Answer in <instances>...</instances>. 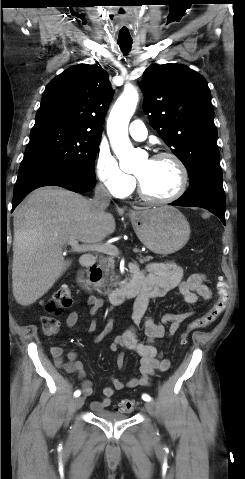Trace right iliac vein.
Listing matches in <instances>:
<instances>
[{
    "mask_svg": "<svg viewBox=\"0 0 245 479\" xmlns=\"http://www.w3.org/2000/svg\"><path fill=\"white\" fill-rule=\"evenodd\" d=\"M84 404V399L83 397H79V398H76L74 401H73V410H78L80 409Z\"/></svg>",
    "mask_w": 245,
    "mask_h": 479,
    "instance_id": "63e3f726",
    "label": "right iliac vein"
}]
</instances>
